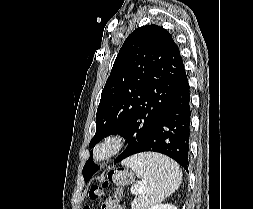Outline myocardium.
Segmentation results:
<instances>
[{"instance_id":"myocardium-1","label":"myocardium","mask_w":253,"mask_h":209,"mask_svg":"<svg viewBox=\"0 0 253 209\" xmlns=\"http://www.w3.org/2000/svg\"><path fill=\"white\" fill-rule=\"evenodd\" d=\"M124 144V138L118 133L104 136L93 148L92 157L96 164H102L117 154Z\"/></svg>"}]
</instances>
